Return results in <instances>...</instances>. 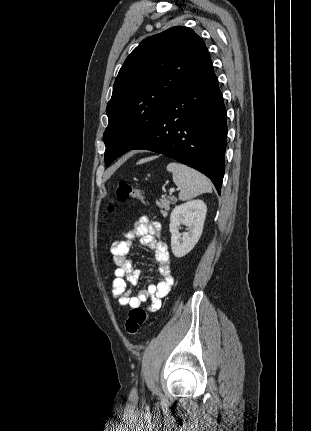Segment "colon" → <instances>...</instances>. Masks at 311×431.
I'll use <instances>...</instances> for the list:
<instances>
[{
	"label": "colon",
	"instance_id": "obj_1",
	"mask_svg": "<svg viewBox=\"0 0 311 431\" xmlns=\"http://www.w3.org/2000/svg\"><path fill=\"white\" fill-rule=\"evenodd\" d=\"M115 199L119 202H125L130 199H136L144 202L145 196L141 190L135 188L125 181H120L115 192ZM111 210V208H110ZM147 312L143 308H135L129 312L125 322V329L128 334L135 335L140 330L141 326L147 320Z\"/></svg>",
	"mask_w": 311,
	"mask_h": 431
}]
</instances>
